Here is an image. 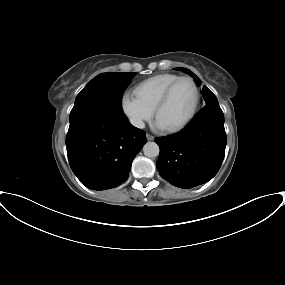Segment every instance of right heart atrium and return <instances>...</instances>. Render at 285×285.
Listing matches in <instances>:
<instances>
[{
  "mask_svg": "<svg viewBox=\"0 0 285 285\" xmlns=\"http://www.w3.org/2000/svg\"><path fill=\"white\" fill-rule=\"evenodd\" d=\"M121 110L131 125L142 128L146 121H149L154 110L145 105L135 94L125 92L121 96Z\"/></svg>",
  "mask_w": 285,
  "mask_h": 285,
  "instance_id": "1",
  "label": "right heart atrium"
}]
</instances>
